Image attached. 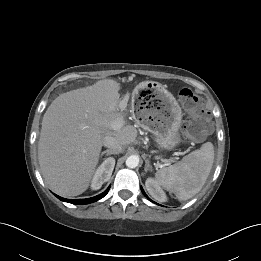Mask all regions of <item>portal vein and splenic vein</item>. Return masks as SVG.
Masks as SVG:
<instances>
[{"mask_svg": "<svg viewBox=\"0 0 261 261\" xmlns=\"http://www.w3.org/2000/svg\"><path fill=\"white\" fill-rule=\"evenodd\" d=\"M120 108L123 109V105L121 103H120ZM122 125L123 124L120 121H116L110 124V129L117 131L121 129Z\"/></svg>", "mask_w": 261, "mask_h": 261, "instance_id": "18ae733b", "label": "portal vein and splenic vein"}]
</instances>
